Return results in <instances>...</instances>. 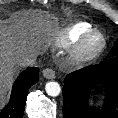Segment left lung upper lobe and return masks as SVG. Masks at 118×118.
<instances>
[{
	"instance_id": "1",
	"label": "left lung upper lobe",
	"mask_w": 118,
	"mask_h": 118,
	"mask_svg": "<svg viewBox=\"0 0 118 118\" xmlns=\"http://www.w3.org/2000/svg\"><path fill=\"white\" fill-rule=\"evenodd\" d=\"M115 56H118V39L116 41L115 46L110 51L108 58L115 57Z\"/></svg>"
}]
</instances>
